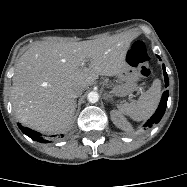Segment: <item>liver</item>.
<instances>
[{
  "label": "liver",
  "mask_w": 187,
  "mask_h": 187,
  "mask_svg": "<svg viewBox=\"0 0 187 187\" xmlns=\"http://www.w3.org/2000/svg\"><path fill=\"white\" fill-rule=\"evenodd\" d=\"M133 39L124 33L81 42L33 44L19 58L12 79V104L18 119L48 134L67 129L76 106L71 91L85 90L99 76H116L127 65Z\"/></svg>",
  "instance_id": "1"
}]
</instances>
